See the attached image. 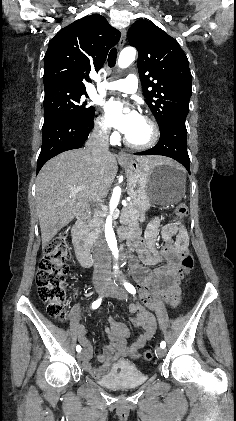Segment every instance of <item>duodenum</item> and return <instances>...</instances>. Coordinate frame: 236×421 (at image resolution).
Wrapping results in <instances>:
<instances>
[{
	"label": "duodenum",
	"mask_w": 236,
	"mask_h": 421,
	"mask_svg": "<svg viewBox=\"0 0 236 421\" xmlns=\"http://www.w3.org/2000/svg\"><path fill=\"white\" fill-rule=\"evenodd\" d=\"M86 219L87 210L83 208L78 212L76 220L71 227V236L79 262L84 267H90L93 264V258L89 242L84 234ZM120 236L128 242L131 248L137 250L144 264L157 265L164 259L169 262L166 267L150 270L145 266L138 265L135 260L132 261L133 273L139 285L140 296L145 304L152 308L155 305L157 295L164 297L168 303L175 304L179 297L178 285L180 280V253L177 246L170 244L166 246L162 253H158L155 250L150 252L146 242L140 237V232L134 227L123 229L120 232ZM136 323L142 326L145 332L134 344L135 347L147 339V323L145 318L139 316L136 319ZM75 331L79 340L82 339V329L75 326ZM108 332L115 342L105 346L104 354L98 355V360L105 363L104 367L94 368L90 365V350L87 351L83 361L84 368L95 378H99L107 367L119 356L129 352L124 341L125 332L113 329Z\"/></svg>",
	"instance_id": "410a0bca"
}]
</instances>
